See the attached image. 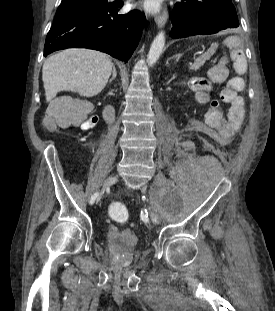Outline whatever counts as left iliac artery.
<instances>
[{
  "instance_id": "left-iliac-artery-1",
  "label": "left iliac artery",
  "mask_w": 275,
  "mask_h": 311,
  "mask_svg": "<svg viewBox=\"0 0 275 311\" xmlns=\"http://www.w3.org/2000/svg\"><path fill=\"white\" fill-rule=\"evenodd\" d=\"M145 212L147 213L146 210H145ZM146 213L141 212L144 221H148V219H147L148 213H147V217H146Z\"/></svg>"
}]
</instances>
